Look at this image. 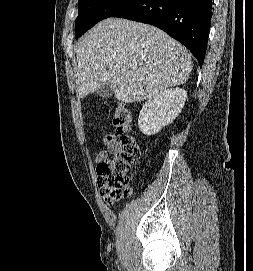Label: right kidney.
Instances as JSON below:
<instances>
[{
    "label": "right kidney",
    "instance_id": "obj_1",
    "mask_svg": "<svg viewBox=\"0 0 253 271\" xmlns=\"http://www.w3.org/2000/svg\"><path fill=\"white\" fill-rule=\"evenodd\" d=\"M187 92L181 88H171L156 94L143 105L138 118L139 130L147 135H155L172 123L184 107Z\"/></svg>",
    "mask_w": 253,
    "mask_h": 271
}]
</instances>
